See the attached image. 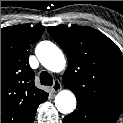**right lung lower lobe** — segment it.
<instances>
[{
	"mask_svg": "<svg viewBox=\"0 0 123 123\" xmlns=\"http://www.w3.org/2000/svg\"><path fill=\"white\" fill-rule=\"evenodd\" d=\"M34 122V118L32 119V122H30V123H33Z\"/></svg>",
	"mask_w": 123,
	"mask_h": 123,
	"instance_id": "98d812e1",
	"label": "right lung lower lobe"
}]
</instances>
